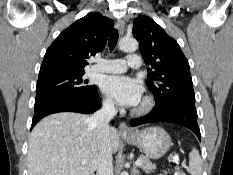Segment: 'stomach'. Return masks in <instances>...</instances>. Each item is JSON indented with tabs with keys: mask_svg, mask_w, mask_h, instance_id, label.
<instances>
[{
	"mask_svg": "<svg viewBox=\"0 0 233 175\" xmlns=\"http://www.w3.org/2000/svg\"><path fill=\"white\" fill-rule=\"evenodd\" d=\"M123 138L127 142L137 146L151 159L161 158L172 145L169 134L158 126L137 130L132 136H123Z\"/></svg>",
	"mask_w": 233,
	"mask_h": 175,
	"instance_id": "obj_1",
	"label": "stomach"
}]
</instances>
